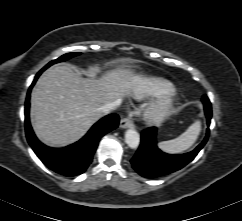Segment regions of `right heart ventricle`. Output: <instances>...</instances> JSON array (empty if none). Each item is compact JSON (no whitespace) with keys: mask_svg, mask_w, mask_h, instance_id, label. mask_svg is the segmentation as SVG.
Wrapping results in <instances>:
<instances>
[{"mask_svg":"<svg viewBox=\"0 0 242 221\" xmlns=\"http://www.w3.org/2000/svg\"><path fill=\"white\" fill-rule=\"evenodd\" d=\"M172 91L173 86L170 82L157 77H148L140 80L135 88V95L138 99L162 97Z\"/></svg>","mask_w":242,"mask_h":221,"instance_id":"right-heart-ventricle-1","label":"right heart ventricle"}]
</instances>
